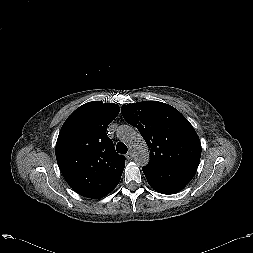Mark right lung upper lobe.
<instances>
[{"mask_svg":"<svg viewBox=\"0 0 253 253\" xmlns=\"http://www.w3.org/2000/svg\"><path fill=\"white\" fill-rule=\"evenodd\" d=\"M115 103L88 102L64 122L56 143V159L70 187L87 198H99L120 181L125 157L107 136L117 117Z\"/></svg>","mask_w":253,"mask_h":253,"instance_id":"cb5924a9","label":"right lung upper lobe"}]
</instances>
